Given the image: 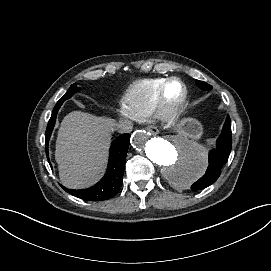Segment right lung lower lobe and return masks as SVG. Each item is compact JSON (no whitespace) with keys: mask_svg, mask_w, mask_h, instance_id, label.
I'll list each match as a JSON object with an SVG mask.
<instances>
[{"mask_svg":"<svg viewBox=\"0 0 271 271\" xmlns=\"http://www.w3.org/2000/svg\"><path fill=\"white\" fill-rule=\"evenodd\" d=\"M62 104H56L53 109L51 118L46 129V155L48 157V142L51 136L53 127L56 121L57 112ZM130 134H122L117 137L110 148L109 163L105 176L103 179L88 189L70 190L61 185V187L68 193L84 199L86 201H104L114 197L121 188L123 182V173L125 167V159L129 146Z\"/></svg>","mask_w":271,"mask_h":271,"instance_id":"right-lung-lower-lobe-1","label":"right lung lower lobe"}]
</instances>
